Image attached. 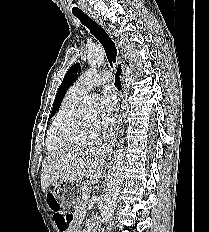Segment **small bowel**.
Instances as JSON below:
<instances>
[{"label":"small bowel","instance_id":"c3829d8e","mask_svg":"<svg viewBox=\"0 0 209 232\" xmlns=\"http://www.w3.org/2000/svg\"><path fill=\"white\" fill-rule=\"evenodd\" d=\"M82 216H83V209H82L81 207H79V208L75 211V213H74V215H73V218L76 219V220H79V219L82 218ZM58 227H59V226H58ZM59 229H60L61 231H64V232H81L80 229H79V226H78L77 224H73V225L70 224L66 229H61V228L59 227Z\"/></svg>","mask_w":209,"mask_h":232}]
</instances>
